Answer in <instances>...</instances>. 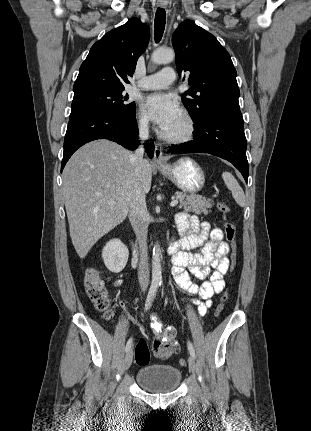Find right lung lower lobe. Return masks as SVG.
<instances>
[{
  "label": "right lung lower lobe",
  "instance_id": "obj_1",
  "mask_svg": "<svg viewBox=\"0 0 311 431\" xmlns=\"http://www.w3.org/2000/svg\"><path fill=\"white\" fill-rule=\"evenodd\" d=\"M135 112L122 115L102 110H86L70 115L65 139L61 172L71 155L82 145L96 139H109L134 150L138 144V127ZM146 151L153 156L154 144L145 143Z\"/></svg>",
  "mask_w": 311,
  "mask_h": 431
}]
</instances>
